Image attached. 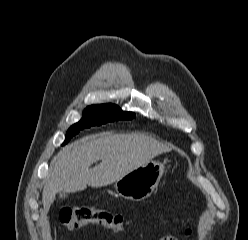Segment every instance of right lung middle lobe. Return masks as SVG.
Segmentation results:
<instances>
[{"mask_svg": "<svg viewBox=\"0 0 248 240\" xmlns=\"http://www.w3.org/2000/svg\"><path fill=\"white\" fill-rule=\"evenodd\" d=\"M134 116V113L124 112L114 104L88 106L84 111L82 119L68 129L64 144H66L74 135L78 134L79 130L90 128L95 125L99 126L111 121L132 119Z\"/></svg>", "mask_w": 248, "mask_h": 240, "instance_id": "1", "label": "right lung middle lobe"}]
</instances>
